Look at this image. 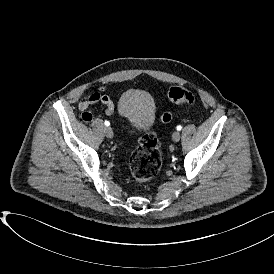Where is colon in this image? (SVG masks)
Listing matches in <instances>:
<instances>
[{
    "mask_svg": "<svg viewBox=\"0 0 274 274\" xmlns=\"http://www.w3.org/2000/svg\"><path fill=\"white\" fill-rule=\"evenodd\" d=\"M169 101L173 104L194 105L197 103L196 96L183 87H173L168 93ZM172 114L166 111L160 115L162 123H169ZM162 166V157L159 151V141L153 131H148L141 140L139 146L132 153L129 169L132 176L139 182L151 179Z\"/></svg>",
    "mask_w": 274,
    "mask_h": 274,
    "instance_id": "colon-1",
    "label": "colon"
}]
</instances>
